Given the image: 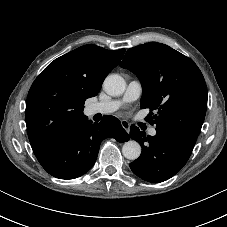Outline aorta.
<instances>
[{
    "label": "aorta",
    "mask_w": 227,
    "mask_h": 227,
    "mask_svg": "<svg viewBox=\"0 0 227 227\" xmlns=\"http://www.w3.org/2000/svg\"><path fill=\"white\" fill-rule=\"evenodd\" d=\"M105 91L112 96H119L126 89L124 78L118 74H111L104 80ZM122 154L129 160H136L141 154V146L134 140H129L122 147Z\"/></svg>",
    "instance_id": "1"
}]
</instances>
